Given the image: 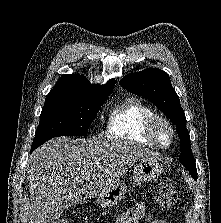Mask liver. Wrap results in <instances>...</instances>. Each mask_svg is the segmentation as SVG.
Listing matches in <instances>:
<instances>
[{"label": "liver", "instance_id": "liver-1", "mask_svg": "<svg viewBox=\"0 0 221 223\" xmlns=\"http://www.w3.org/2000/svg\"><path fill=\"white\" fill-rule=\"evenodd\" d=\"M147 159L155 153L127 141L49 140L28 159L31 203L24 223H58L64 209L106 193L134 163Z\"/></svg>", "mask_w": 221, "mask_h": 223}]
</instances>
